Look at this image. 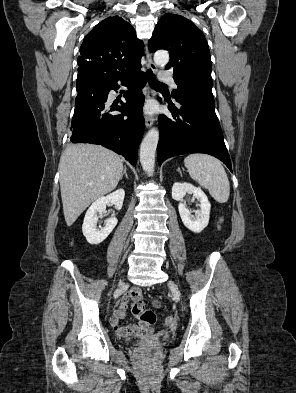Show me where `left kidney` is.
I'll list each match as a JSON object with an SVG mask.
<instances>
[{
  "instance_id": "1",
  "label": "left kidney",
  "mask_w": 296,
  "mask_h": 393,
  "mask_svg": "<svg viewBox=\"0 0 296 393\" xmlns=\"http://www.w3.org/2000/svg\"><path fill=\"white\" fill-rule=\"evenodd\" d=\"M186 193H192L200 202V210L196 212L195 217L191 216V211L182 203ZM172 197L179 201L178 210L183 224L192 232L200 233L209 223L211 209V204L202 189L190 183H174Z\"/></svg>"
}]
</instances>
